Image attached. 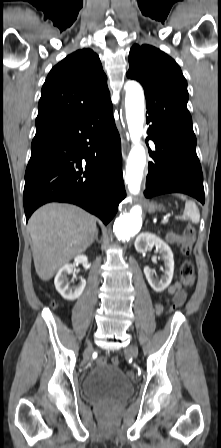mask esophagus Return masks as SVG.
<instances>
[{
    "instance_id": "esophagus-1",
    "label": "esophagus",
    "mask_w": 221,
    "mask_h": 448,
    "mask_svg": "<svg viewBox=\"0 0 221 448\" xmlns=\"http://www.w3.org/2000/svg\"><path fill=\"white\" fill-rule=\"evenodd\" d=\"M126 152H127V147H126V143L124 142L122 145V157L123 159H126Z\"/></svg>"
}]
</instances>
